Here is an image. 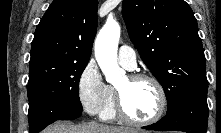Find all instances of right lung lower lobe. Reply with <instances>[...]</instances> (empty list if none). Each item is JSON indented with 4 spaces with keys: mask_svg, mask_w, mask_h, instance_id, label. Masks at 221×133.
<instances>
[{
    "mask_svg": "<svg viewBox=\"0 0 221 133\" xmlns=\"http://www.w3.org/2000/svg\"><path fill=\"white\" fill-rule=\"evenodd\" d=\"M82 110L75 107H68L62 110L46 107H35L29 105V132L39 133L49 124L56 120H72L81 116Z\"/></svg>",
    "mask_w": 221,
    "mask_h": 133,
    "instance_id": "obj_1",
    "label": "right lung lower lobe"
}]
</instances>
